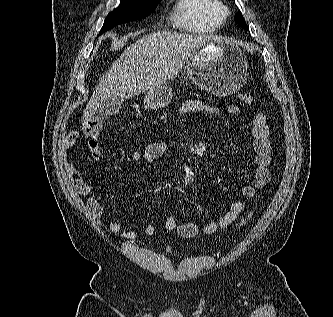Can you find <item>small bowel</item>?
Returning <instances> with one entry per match:
<instances>
[{"mask_svg": "<svg viewBox=\"0 0 333 317\" xmlns=\"http://www.w3.org/2000/svg\"><path fill=\"white\" fill-rule=\"evenodd\" d=\"M218 111L216 107H213L205 102L197 99L186 100L179 107V114L184 115L190 112H196L201 114H214ZM228 112L232 115H240L241 109L236 105L228 107ZM251 130L253 138V149L255 152L254 164L255 170L253 179L250 184L246 185L242 189L243 199L240 201L232 202L228 210L221 217L209 222L203 228L205 234H213L218 229H225L231 223H233L238 216L244 211L247 204L254 199L257 191L266 187L271 181V172L269 166L271 163V142L270 131L267 118L262 113H254L251 120ZM79 134L72 132L67 135L63 144L64 153L77 142ZM168 150V144L165 142H155L147 145L143 151H134L130 159L135 163L152 164L159 158H161ZM93 158L98 160L101 156L100 146H96L93 150ZM66 172L68 178L74 188V190L83 197H88L86 206L89 212L96 218L102 219L104 217V208L101 203L91 197L92 187L87 184L79 170L75 167L74 163L66 160ZM164 226L169 230H176L182 237L191 238L199 233V225L194 222L190 223H178L173 216H168L164 220ZM109 232L113 235H118L124 240H134L137 237L135 230L122 231V225L120 221H113L110 223ZM156 232V227L149 224L145 227V233L147 235H153Z\"/></svg>", "mask_w": 333, "mask_h": 317, "instance_id": "1", "label": "small bowel"}]
</instances>
